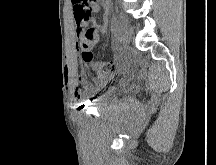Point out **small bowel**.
Wrapping results in <instances>:
<instances>
[{"mask_svg":"<svg viewBox=\"0 0 216 165\" xmlns=\"http://www.w3.org/2000/svg\"><path fill=\"white\" fill-rule=\"evenodd\" d=\"M73 5V18L76 24L75 28V37L80 42L84 41L86 39V31L85 28L88 27L90 22V17L92 13H96L100 9L99 0H91L90 2H74V0H71ZM81 13H90L89 17L81 16ZM97 26V25H95ZM100 28V32H105L107 29V16L104 17V22L101 26H98ZM98 41V38L91 42V47L96 44ZM74 95L77 99L81 97V92L78 90V88L75 89Z\"/></svg>","mask_w":216,"mask_h":165,"instance_id":"obj_1","label":"small bowel"}]
</instances>
